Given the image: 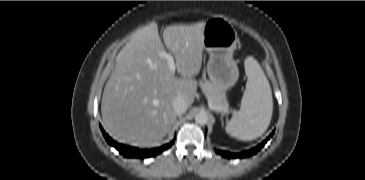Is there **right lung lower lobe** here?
<instances>
[{
  "label": "right lung lower lobe",
  "mask_w": 365,
  "mask_h": 180,
  "mask_svg": "<svg viewBox=\"0 0 365 180\" xmlns=\"http://www.w3.org/2000/svg\"><path fill=\"white\" fill-rule=\"evenodd\" d=\"M101 131H102L106 141L111 146L115 147L124 157H128V158L129 157H137V158L152 157V156H155V155L159 154L160 152L164 151L165 149L169 148L173 144V141H172L171 143L161 146L159 148L150 149V150H148V149L140 150L138 148L116 143L105 133V131L103 130L102 127H101Z\"/></svg>",
  "instance_id": "obj_1"
}]
</instances>
